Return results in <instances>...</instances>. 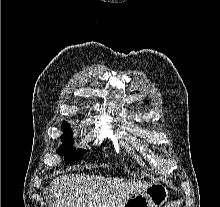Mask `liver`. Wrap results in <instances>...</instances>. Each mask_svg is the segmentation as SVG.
<instances>
[{"instance_id":"liver-1","label":"liver","mask_w":220,"mask_h":207,"mask_svg":"<svg viewBox=\"0 0 220 207\" xmlns=\"http://www.w3.org/2000/svg\"><path fill=\"white\" fill-rule=\"evenodd\" d=\"M145 184L118 177L70 174L57 177L50 184L55 207H123Z\"/></svg>"}]
</instances>
